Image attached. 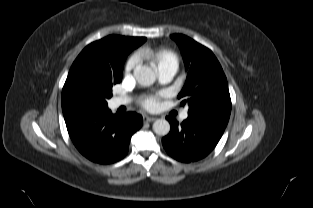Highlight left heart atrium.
<instances>
[{
    "instance_id": "obj_1",
    "label": "left heart atrium",
    "mask_w": 313,
    "mask_h": 208,
    "mask_svg": "<svg viewBox=\"0 0 313 208\" xmlns=\"http://www.w3.org/2000/svg\"><path fill=\"white\" fill-rule=\"evenodd\" d=\"M142 105L145 109L153 111L158 107V100L156 97L149 96L143 99Z\"/></svg>"
}]
</instances>
